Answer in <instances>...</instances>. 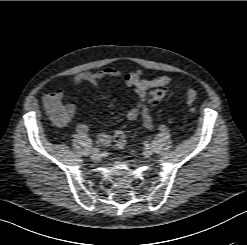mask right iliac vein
<instances>
[{
    "label": "right iliac vein",
    "mask_w": 247,
    "mask_h": 245,
    "mask_svg": "<svg viewBox=\"0 0 247 245\" xmlns=\"http://www.w3.org/2000/svg\"><path fill=\"white\" fill-rule=\"evenodd\" d=\"M100 153L99 152H92V154H91V158L93 159V160H98L99 158H100Z\"/></svg>",
    "instance_id": "63e3f726"
}]
</instances>
